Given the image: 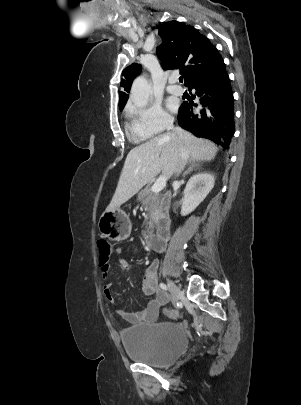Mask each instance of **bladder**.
Listing matches in <instances>:
<instances>
[{
	"label": "bladder",
	"instance_id": "obj_1",
	"mask_svg": "<svg viewBox=\"0 0 301 405\" xmlns=\"http://www.w3.org/2000/svg\"><path fill=\"white\" fill-rule=\"evenodd\" d=\"M120 337L130 359L156 367L173 364L188 345L185 328L173 322L127 327L121 331Z\"/></svg>",
	"mask_w": 301,
	"mask_h": 405
}]
</instances>
